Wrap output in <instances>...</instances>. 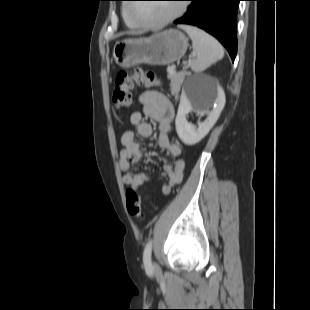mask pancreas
I'll list each match as a JSON object with an SVG mask.
<instances>
[{"label": "pancreas", "instance_id": "pancreas-1", "mask_svg": "<svg viewBox=\"0 0 310 310\" xmlns=\"http://www.w3.org/2000/svg\"><path fill=\"white\" fill-rule=\"evenodd\" d=\"M185 76V72H169L168 78L170 79V91L173 96H178Z\"/></svg>", "mask_w": 310, "mask_h": 310}]
</instances>
